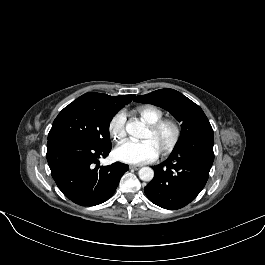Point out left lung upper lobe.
I'll return each instance as SVG.
<instances>
[{"label":"left lung upper lobe","instance_id":"5c2ea615","mask_svg":"<svg viewBox=\"0 0 265 265\" xmlns=\"http://www.w3.org/2000/svg\"><path fill=\"white\" fill-rule=\"evenodd\" d=\"M134 101L151 103L172 113L181 124V136L176 146L199 132L212 129L203 110L189 98L173 89H160L135 97ZM175 146V147H176Z\"/></svg>","mask_w":265,"mask_h":265}]
</instances>
